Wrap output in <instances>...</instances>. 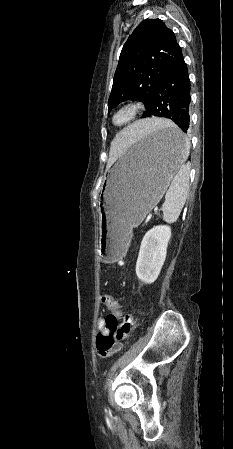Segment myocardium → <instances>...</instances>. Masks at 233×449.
Listing matches in <instances>:
<instances>
[{"label": "myocardium", "mask_w": 233, "mask_h": 449, "mask_svg": "<svg viewBox=\"0 0 233 449\" xmlns=\"http://www.w3.org/2000/svg\"><path fill=\"white\" fill-rule=\"evenodd\" d=\"M142 105L138 102H128L117 107L112 115L111 122L116 127H121L132 122L140 113Z\"/></svg>", "instance_id": "myocardium-1"}]
</instances>
